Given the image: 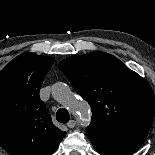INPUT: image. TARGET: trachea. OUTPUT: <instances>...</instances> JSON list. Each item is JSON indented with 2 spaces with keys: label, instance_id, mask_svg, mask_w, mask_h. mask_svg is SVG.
I'll return each mask as SVG.
<instances>
[{
  "label": "trachea",
  "instance_id": "obj_1",
  "mask_svg": "<svg viewBox=\"0 0 155 155\" xmlns=\"http://www.w3.org/2000/svg\"><path fill=\"white\" fill-rule=\"evenodd\" d=\"M56 119L61 123H67L70 119L69 112L65 108H60L56 113Z\"/></svg>",
  "mask_w": 155,
  "mask_h": 155
}]
</instances>
